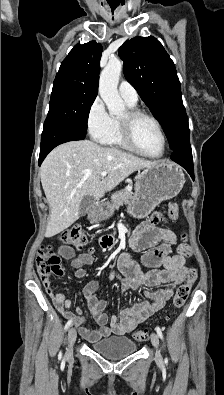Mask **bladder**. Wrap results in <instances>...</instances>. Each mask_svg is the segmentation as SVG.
I'll return each mask as SVG.
<instances>
[{"label": "bladder", "mask_w": 224, "mask_h": 395, "mask_svg": "<svg viewBox=\"0 0 224 395\" xmlns=\"http://www.w3.org/2000/svg\"><path fill=\"white\" fill-rule=\"evenodd\" d=\"M91 349L95 353L115 361L133 354L137 350V345L129 337L113 336L93 343Z\"/></svg>", "instance_id": "obj_1"}]
</instances>
